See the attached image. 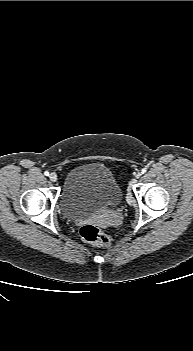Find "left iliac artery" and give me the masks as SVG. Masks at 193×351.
Wrapping results in <instances>:
<instances>
[{
    "label": "left iliac artery",
    "instance_id": "44dca946",
    "mask_svg": "<svg viewBox=\"0 0 193 351\" xmlns=\"http://www.w3.org/2000/svg\"><path fill=\"white\" fill-rule=\"evenodd\" d=\"M147 172V169L146 168H143L142 170H141V173L142 174H144V173H146Z\"/></svg>",
    "mask_w": 193,
    "mask_h": 351
}]
</instances>
